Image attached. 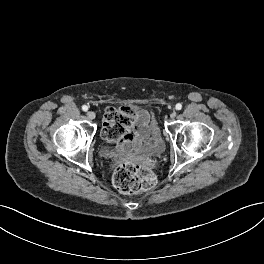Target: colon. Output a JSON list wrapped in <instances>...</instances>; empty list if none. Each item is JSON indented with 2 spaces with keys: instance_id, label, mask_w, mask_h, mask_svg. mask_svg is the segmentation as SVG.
I'll return each mask as SVG.
<instances>
[{
  "instance_id": "obj_1",
  "label": "colon",
  "mask_w": 264,
  "mask_h": 264,
  "mask_svg": "<svg viewBox=\"0 0 264 264\" xmlns=\"http://www.w3.org/2000/svg\"><path fill=\"white\" fill-rule=\"evenodd\" d=\"M133 111L129 107L109 108L105 113L107 125L102 127V136L108 141L122 139L130 128ZM156 176L145 166L131 161L119 163L113 173L114 186L122 193H138L152 189Z\"/></svg>"
}]
</instances>
